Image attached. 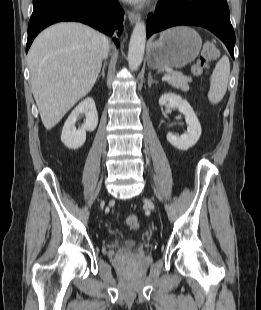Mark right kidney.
<instances>
[{
    "label": "right kidney",
    "instance_id": "ca27d5eb",
    "mask_svg": "<svg viewBox=\"0 0 261 310\" xmlns=\"http://www.w3.org/2000/svg\"><path fill=\"white\" fill-rule=\"evenodd\" d=\"M85 114V123L76 129L75 123L80 114ZM98 125V113L91 97L81 101L66 120L61 134V141L70 149L80 148L86 141V131L92 132Z\"/></svg>",
    "mask_w": 261,
    "mask_h": 310
}]
</instances>
